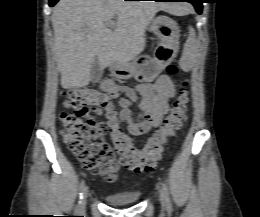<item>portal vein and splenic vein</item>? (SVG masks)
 <instances>
[{
    "instance_id": "obj_1",
    "label": "portal vein and splenic vein",
    "mask_w": 260,
    "mask_h": 217,
    "mask_svg": "<svg viewBox=\"0 0 260 217\" xmlns=\"http://www.w3.org/2000/svg\"><path fill=\"white\" fill-rule=\"evenodd\" d=\"M106 25H107V27L113 28V27H115L116 23L114 21H110Z\"/></svg>"
}]
</instances>
